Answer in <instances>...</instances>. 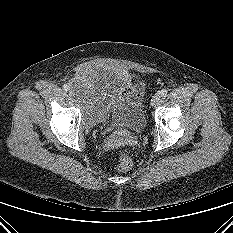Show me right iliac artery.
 <instances>
[{
  "instance_id": "82829eb1",
  "label": "right iliac artery",
  "mask_w": 233,
  "mask_h": 233,
  "mask_svg": "<svg viewBox=\"0 0 233 233\" xmlns=\"http://www.w3.org/2000/svg\"><path fill=\"white\" fill-rule=\"evenodd\" d=\"M63 88H64L65 91H68V90L70 89V86L67 85V84H65V85L63 86Z\"/></svg>"
}]
</instances>
